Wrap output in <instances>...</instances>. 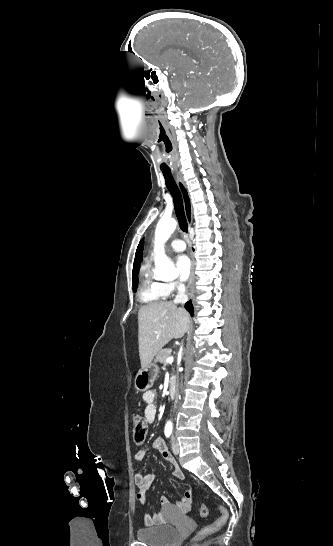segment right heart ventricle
Returning <instances> with one entry per match:
<instances>
[{"instance_id":"obj_1","label":"right heart ventricle","mask_w":333,"mask_h":546,"mask_svg":"<svg viewBox=\"0 0 333 546\" xmlns=\"http://www.w3.org/2000/svg\"><path fill=\"white\" fill-rule=\"evenodd\" d=\"M139 297L146 304L157 303L165 298L161 283L155 279L148 263L141 268Z\"/></svg>"}]
</instances>
